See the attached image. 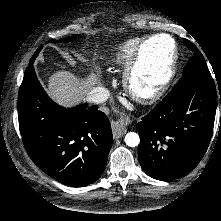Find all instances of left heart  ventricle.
Returning <instances> with one entry per match:
<instances>
[{
  "label": "left heart ventricle",
  "mask_w": 221,
  "mask_h": 221,
  "mask_svg": "<svg viewBox=\"0 0 221 221\" xmlns=\"http://www.w3.org/2000/svg\"><path fill=\"white\" fill-rule=\"evenodd\" d=\"M172 44L166 37L155 38L147 47L143 63V77L152 78L158 75L163 67Z\"/></svg>",
  "instance_id": "1"
}]
</instances>
